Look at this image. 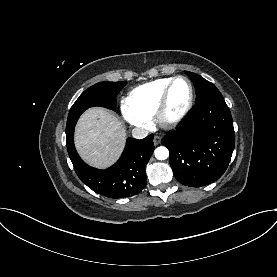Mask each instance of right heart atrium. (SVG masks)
<instances>
[{
    "instance_id": "1",
    "label": "right heart atrium",
    "mask_w": 277,
    "mask_h": 277,
    "mask_svg": "<svg viewBox=\"0 0 277 277\" xmlns=\"http://www.w3.org/2000/svg\"><path fill=\"white\" fill-rule=\"evenodd\" d=\"M121 110H122L124 119L132 126L137 127V128H143V129L149 127V125L151 123L150 118L143 114L136 112L135 110L130 108L126 104V102L123 103Z\"/></svg>"
}]
</instances>
